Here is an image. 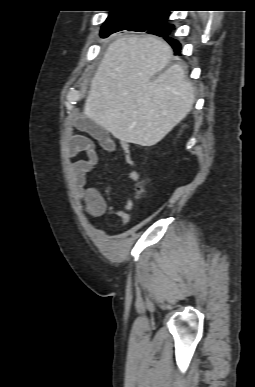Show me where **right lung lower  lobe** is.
Masks as SVG:
<instances>
[{
    "instance_id": "1",
    "label": "right lung lower lobe",
    "mask_w": 255,
    "mask_h": 387,
    "mask_svg": "<svg viewBox=\"0 0 255 387\" xmlns=\"http://www.w3.org/2000/svg\"><path fill=\"white\" fill-rule=\"evenodd\" d=\"M147 33H150V31H147ZM150 34H156V35L162 36V35H164V34H168V32H164V33H162V34H157V33L152 32V33H150ZM164 38H165V39L169 42V44L174 48L175 54H176V55H180V49H181L180 43H179L177 40L171 39V38L166 37V36H165Z\"/></svg>"
}]
</instances>
